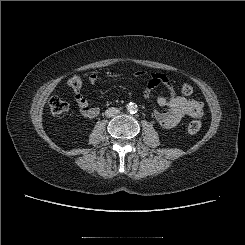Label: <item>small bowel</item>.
Here are the masks:
<instances>
[{
	"label": "small bowel",
	"mask_w": 245,
	"mask_h": 245,
	"mask_svg": "<svg viewBox=\"0 0 245 245\" xmlns=\"http://www.w3.org/2000/svg\"><path fill=\"white\" fill-rule=\"evenodd\" d=\"M134 75L140 78L146 76L147 72L140 70L135 72ZM97 81L98 76L95 73H91L88 76L90 85H95ZM159 85L163 86L170 95L169 97L162 94L156 96L157 105L164 108L162 111L154 108V117L161 127L165 129L173 128L177 126L185 116L192 118H200L203 116V103L195 99H187L177 95L172 82L162 73L149 74V80L143 91L146 100L149 101L152 98L155 88ZM75 101L84 117L95 118L99 114V109L90 106L89 102L82 94H76Z\"/></svg>",
	"instance_id": "obj_1"
}]
</instances>
